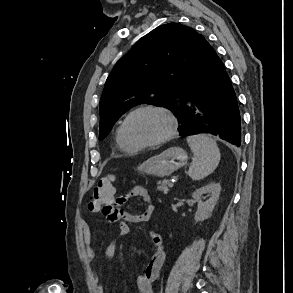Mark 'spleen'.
Wrapping results in <instances>:
<instances>
[{
	"mask_svg": "<svg viewBox=\"0 0 293 293\" xmlns=\"http://www.w3.org/2000/svg\"><path fill=\"white\" fill-rule=\"evenodd\" d=\"M187 143L195 156L188 174L193 180H201L211 174L218 166L220 161L219 148L216 142L205 134L188 136Z\"/></svg>",
	"mask_w": 293,
	"mask_h": 293,
	"instance_id": "obj_1",
	"label": "spleen"
}]
</instances>
